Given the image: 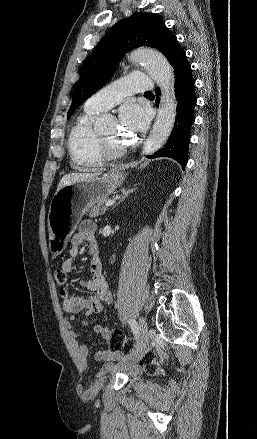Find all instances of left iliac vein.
<instances>
[{
    "label": "left iliac vein",
    "mask_w": 257,
    "mask_h": 439,
    "mask_svg": "<svg viewBox=\"0 0 257 439\" xmlns=\"http://www.w3.org/2000/svg\"><path fill=\"white\" fill-rule=\"evenodd\" d=\"M150 331L145 318H140V337L137 351L130 357L128 364H134L141 356L142 351L149 345ZM123 365L117 366V370L121 369Z\"/></svg>",
    "instance_id": "1"
}]
</instances>
